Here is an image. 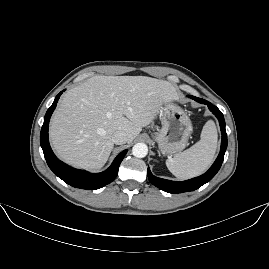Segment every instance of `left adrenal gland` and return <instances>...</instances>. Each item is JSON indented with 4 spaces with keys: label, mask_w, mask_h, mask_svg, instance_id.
Here are the masks:
<instances>
[{
    "label": "left adrenal gland",
    "mask_w": 269,
    "mask_h": 269,
    "mask_svg": "<svg viewBox=\"0 0 269 269\" xmlns=\"http://www.w3.org/2000/svg\"><path fill=\"white\" fill-rule=\"evenodd\" d=\"M157 152H158V155H159V156H161V153H160V151H159V150H157Z\"/></svg>",
    "instance_id": "left-adrenal-gland-1"
}]
</instances>
